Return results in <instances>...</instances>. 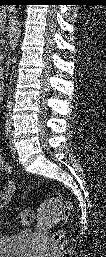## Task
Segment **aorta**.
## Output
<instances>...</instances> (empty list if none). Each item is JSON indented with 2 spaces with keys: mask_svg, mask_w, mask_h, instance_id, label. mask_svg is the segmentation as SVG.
I'll return each instance as SVG.
<instances>
[{
  "mask_svg": "<svg viewBox=\"0 0 106 257\" xmlns=\"http://www.w3.org/2000/svg\"><path fill=\"white\" fill-rule=\"evenodd\" d=\"M12 61H13L14 63L16 62L15 57H13V60H12ZM12 81H13V78H12V75H11V77H10V84L12 83ZM11 104H12V102H11L10 96H9V97H8V101H7V105H6L7 110L10 109Z\"/></svg>",
  "mask_w": 106,
  "mask_h": 257,
  "instance_id": "762f6f07",
  "label": "aorta"
}]
</instances>
